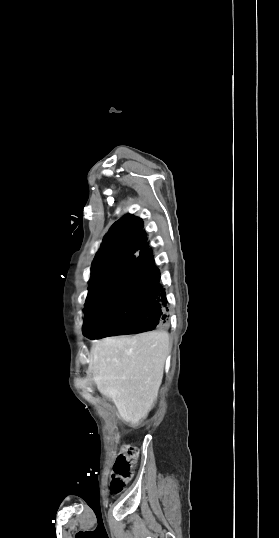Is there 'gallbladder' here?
Masks as SVG:
<instances>
[{"mask_svg": "<svg viewBox=\"0 0 279 538\" xmlns=\"http://www.w3.org/2000/svg\"><path fill=\"white\" fill-rule=\"evenodd\" d=\"M107 410L109 412H114L116 410V405L114 403H111V400H108Z\"/></svg>", "mask_w": 279, "mask_h": 538, "instance_id": "gallbladder-1", "label": "gallbladder"}]
</instances>
